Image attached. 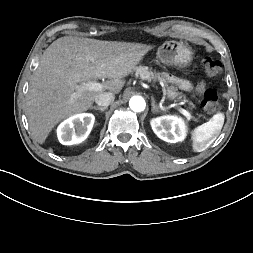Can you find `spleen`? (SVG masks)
Listing matches in <instances>:
<instances>
[{
  "label": "spleen",
  "mask_w": 253,
  "mask_h": 253,
  "mask_svg": "<svg viewBox=\"0 0 253 253\" xmlns=\"http://www.w3.org/2000/svg\"><path fill=\"white\" fill-rule=\"evenodd\" d=\"M224 118L223 113H217L208 122L194 129L192 133L193 151L202 152L210 145L211 141L219 135Z\"/></svg>",
  "instance_id": "1"
}]
</instances>
